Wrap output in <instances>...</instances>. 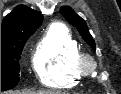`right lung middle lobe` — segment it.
I'll use <instances>...</instances> for the list:
<instances>
[{
	"label": "right lung middle lobe",
	"instance_id": "1",
	"mask_svg": "<svg viewBox=\"0 0 121 94\" xmlns=\"http://www.w3.org/2000/svg\"><path fill=\"white\" fill-rule=\"evenodd\" d=\"M33 32L1 42V91L9 90L19 82V58L23 46Z\"/></svg>",
	"mask_w": 121,
	"mask_h": 94
}]
</instances>
